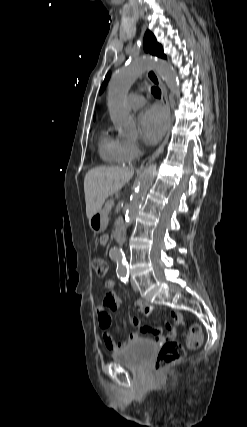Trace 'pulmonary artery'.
Listing matches in <instances>:
<instances>
[{
  "label": "pulmonary artery",
  "mask_w": 247,
  "mask_h": 427,
  "mask_svg": "<svg viewBox=\"0 0 247 427\" xmlns=\"http://www.w3.org/2000/svg\"><path fill=\"white\" fill-rule=\"evenodd\" d=\"M144 103H145V98L141 93H138V92L131 93L126 98V104L130 109H137L142 105H144Z\"/></svg>",
  "instance_id": "pulmonary-artery-1"
}]
</instances>
